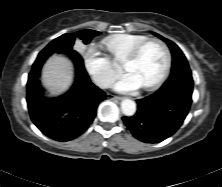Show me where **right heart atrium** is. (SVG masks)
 I'll list each match as a JSON object with an SVG mask.
<instances>
[{"label": "right heart atrium", "mask_w": 222, "mask_h": 187, "mask_svg": "<svg viewBox=\"0 0 222 187\" xmlns=\"http://www.w3.org/2000/svg\"><path fill=\"white\" fill-rule=\"evenodd\" d=\"M83 63L95 83L100 87H108L119 71L114 62L104 56L93 44L84 51Z\"/></svg>", "instance_id": "1"}]
</instances>
